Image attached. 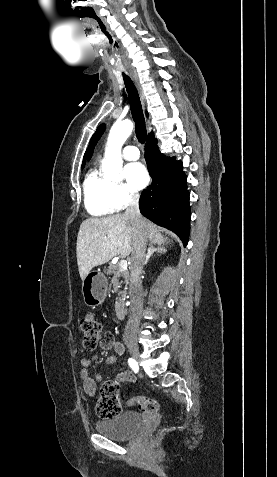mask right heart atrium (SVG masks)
Returning <instances> with one entry per match:
<instances>
[{"instance_id": "obj_1", "label": "right heart atrium", "mask_w": 277, "mask_h": 477, "mask_svg": "<svg viewBox=\"0 0 277 477\" xmlns=\"http://www.w3.org/2000/svg\"><path fill=\"white\" fill-rule=\"evenodd\" d=\"M139 198L137 192L130 189L123 183L113 184L112 199L116 210L126 208L128 205L136 202Z\"/></svg>"}]
</instances>
